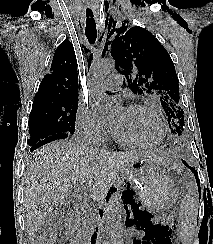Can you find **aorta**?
<instances>
[{
  "label": "aorta",
  "mask_w": 213,
  "mask_h": 244,
  "mask_svg": "<svg viewBox=\"0 0 213 244\" xmlns=\"http://www.w3.org/2000/svg\"><path fill=\"white\" fill-rule=\"evenodd\" d=\"M115 69V62L110 58L95 61L90 69L89 79L92 84L103 81ZM92 97L99 112L104 116H112L119 109V103L105 92L92 89ZM123 204L119 194H113L106 205L108 237L110 244H124L122 225Z\"/></svg>",
  "instance_id": "1"
}]
</instances>
